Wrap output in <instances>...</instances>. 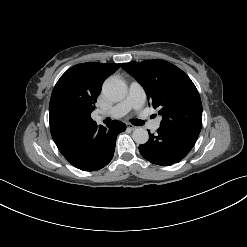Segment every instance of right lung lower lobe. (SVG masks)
I'll list each match as a JSON object with an SVG mask.
<instances>
[{
    "label": "right lung lower lobe",
    "mask_w": 247,
    "mask_h": 247,
    "mask_svg": "<svg viewBox=\"0 0 247 247\" xmlns=\"http://www.w3.org/2000/svg\"><path fill=\"white\" fill-rule=\"evenodd\" d=\"M125 129V124L120 121H112L107 128L95 124L62 154L70 164L80 170H99L112 160L117 135Z\"/></svg>",
    "instance_id": "right-lung-lower-lobe-1"
}]
</instances>
